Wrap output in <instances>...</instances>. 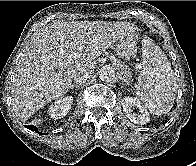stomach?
Masks as SVG:
<instances>
[{
	"instance_id": "0dacf381",
	"label": "stomach",
	"mask_w": 196,
	"mask_h": 166,
	"mask_svg": "<svg viewBox=\"0 0 196 166\" xmlns=\"http://www.w3.org/2000/svg\"><path fill=\"white\" fill-rule=\"evenodd\" d=\"M116 53L119 57L130 60L137 54V35L129 33L116 44Z\"/></svg>"
}]
</instances>
